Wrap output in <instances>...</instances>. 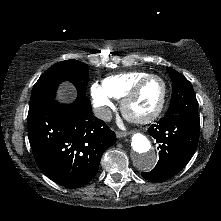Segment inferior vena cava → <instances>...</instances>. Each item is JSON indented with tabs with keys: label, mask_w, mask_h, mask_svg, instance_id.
I'll use <instances>...</instances> for the list:
<instances>
[{
	"label": "inferior vena cava",
	"mask_w": 221,
	"mask_h": 221,
	"mask_svg": "<svg viewBox=\"0 0 221 221\" xmlns=\"http://www.w3.org/2000/svg\"><path fill=\"white\" fill-rule=\"evenodd\" d=\"M94 115L101 119V120H104V121H111L112 119V112L111 110L106 107V106H101V107H98V108H95L94 109Z\"/></svg>",
	"instance_id": "1"
}]
</instances>
